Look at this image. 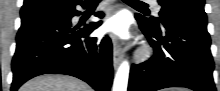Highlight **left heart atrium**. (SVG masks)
Returning <instances> with one entry per match:
<instances>
[{
    "label": "left heart atrium",
    "instance_id": "1",
    "mask_svg": "<svg viewBox=\"0 0 220 91\" xmlns=\"http://www.w3.org/2000/svg\"><path fill=\"white\" fill-rule=\"evenodd\" d=\"M104 30L113 35L115 38L122 40L128 39V18L124 14H116L105 21Z\"/></svg>",
    "mask_w": 220,
    "mask_h": 91
}]
</instances>
